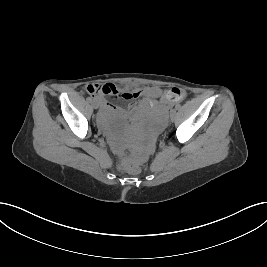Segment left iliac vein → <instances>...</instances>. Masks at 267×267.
Masks as SVG:
<instances>
[{
  "mask_svg": "<svg viewBox=\"0 0 267 267\" xmlns=\"http://www.w3.org/2000/svg\"><path fill=\"white\" fill-rule=\"evenodd\" d=\"M175 113H176L175 110H174V111L171 110V112H170V119H171V120H173V118H174V116H175Z\"/></svg>",
  "mask_w": 267,
  "mask_h": 267,
  "instance_id": "1",
  "label": "left iliac vein"
}]
</instances>
